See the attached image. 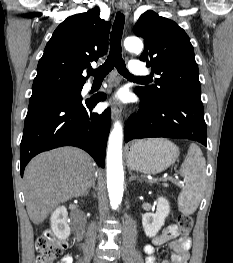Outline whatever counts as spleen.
Wrapping results in <instances>:
<instances>
[{
    "instance_id": "obj_1",
    "label": "spleen",
    "mask_w": 233,
    "mask_h": 263,
    "mask_svg": "<svg viewBox=\"0 0 233 263\" xmlns=\"http://www.w3.org/2000/svg\"><path fill=\"white\" fill-rule=\"evenodd\" d=\"M180 173L185 186L178 196V207L183 214L189 215L199 206L206 180V161L196 144H190Z\"/></svg>"
}]
</instances>
